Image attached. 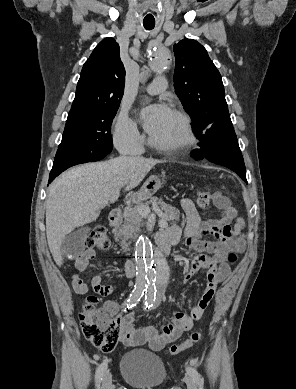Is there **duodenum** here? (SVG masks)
<instances>
[{"label": "duodenum", "instance_id": "duodenum-1", "mask_svg": "<svg viewBox=\"0 0 296 389\" xmlns=\"http://www.w3.org/2000/svg\"><path fill=\"white\" fill-rule=\"evenodd\" d=\"M121 218V210L119 208L114 209L109 214V223L112 227L118 225ZM175 243V240L167 236L157 237V244L160 252L163 255H167L170 252L171 245ZM125 274L128 278H133L136 273L135 263L133 261H127L124 265Z\"/></svg>", "mask_w": 296, "mask_h": 389}]
</instances>
